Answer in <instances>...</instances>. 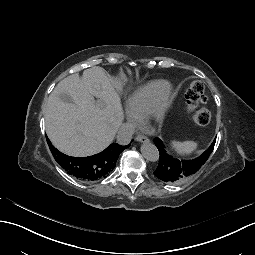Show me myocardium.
<instances>
[{
    "mask_svg": "<svg viewBox=\"0 0 255 255\" xmlns=\"http://www.w3.org/2000/svg\"><path fill=\"white\" fill-rule=\"evenodd\" d=\"M175 93L173 88L169 85H166L155 104L153 109L148 113L144 120V126L147 130L153 131L164 119L166 113L172 106L174 101Z\"/></svg>",
    "mask_w": 255,
    "mask_h": 255,
    "instance_id": "1",
    "label": "myocardium"
}]
</instances>
